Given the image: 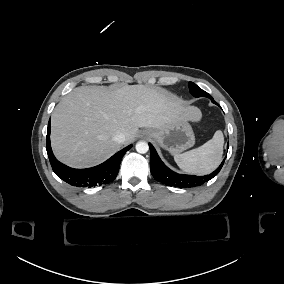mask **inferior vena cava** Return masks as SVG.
<instances>
[{"instance_id":"obj_1","label":"inferior vena cava","mask_w":284,"mask_h":284,"mask_svg":"<svg viewBox=\"0 0 284 284\" xmlns=\"http://www.w3.org/2000/svg\"><path fill=\"white\" fill-rule=\"evenodd\" d=\"M113 140L119 144H122L125 142V135L123 133H117L114 135Z\"/></svg>"}]
</instances>
